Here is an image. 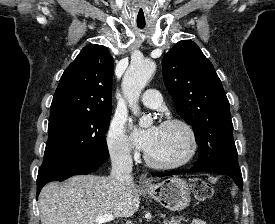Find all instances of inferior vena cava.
Segmentation results:
<instances>
[{
  "label": "inferior vena cava",
  "mask_w": 275,
  "mask_h": 224,
  "mask_svg": "<svg viewBox=\"0 0 275 224\" xmlns=\"http://www.w3.org/2000/svg\"><path fill=\"white\" fill-rule=\"evenodd\" d=\"M112 162L111 175L118 186L124 190L129 184L133 183L131 176L133 161L129 149L120 148L110 152Z\"/></svg>",
  "instance_id": "602c4592"
}]
</instances>
